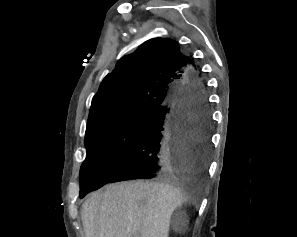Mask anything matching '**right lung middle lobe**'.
<instances>
[{
  "label": "right lung middle lobe",
  "instance_id": "obj_1",
  "mask_svg": "<svg viewBox=\"0 0 297 237\" xmlns=\"http://www.w3.org/2000/svg\"><path fill=\"white\" fill-rule=\"evenodd\" d=\"M151 112L139 111L104 119L86 128V159L80 169V198L102 186L116 163L130 149Z\"/></svg>",
  "mask_w": 297,
  "mask_h": 237
}]
</instances>
